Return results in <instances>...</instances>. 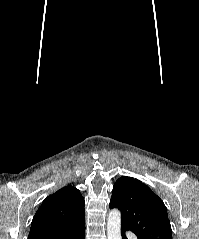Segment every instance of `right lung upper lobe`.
Instances as JSON below:
<instances>
[{
    "instance_id": "cb5924a9",
    "label": "right lung upper lobe",
    "mask_w": 199,
    "mask_h": 239,
    "mask_svg": "<svg viewBox=\"0 0 199 239\" xmlns=\"http://www.w3.org/2000/svg\"><path fill=\"white\" fill-rule=\"evenodd\" d=\"M85 201L74 186L49 195L33 217L28 239L66 231L85 221Z\"/></svg>"
}]
</instances>
